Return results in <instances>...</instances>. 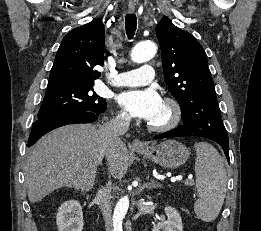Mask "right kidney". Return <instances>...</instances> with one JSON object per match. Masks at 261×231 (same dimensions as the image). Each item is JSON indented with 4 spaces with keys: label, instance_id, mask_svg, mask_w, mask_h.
Segmentation results:
<instances>
[{
    "label": "right kidney",
    "instance_id": "obj_1",
    "mask_svg": "<svg viewBox=\"0 0 261 231\" xmlns=\"http://www.w3.org/2000/svg\"><path fill=\"white\" fill-rule=\"evenodd\" d=\"M58 231H82L84 221L82 207L78 201L64 202L56 216Z\"/></svg>",
    "mask_w": 261,
    "mask_h": 231
}]
</instances>
